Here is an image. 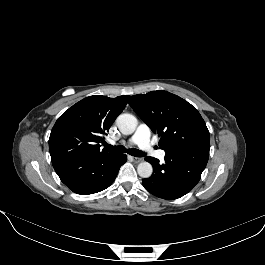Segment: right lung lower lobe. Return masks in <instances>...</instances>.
Masks as SVG:
<instances>
[{
	"label": "right lung lower lobe",
	"mask_w": 265,
	"mask_h": 265,
	"mask_svg": "<svg viewBox=\"0 0 265 265\" xmlns=\"http://www.w3.org/2000/svg\"><path fill=\"white\" fill-rule=\"evenodd\" d=\"M126 160L125 154L110 153L60 161L53 163V167L68 188L87 195L109 187Z\"/></svg>",
	"instance_id": "obj_1"
}]
</instances>
